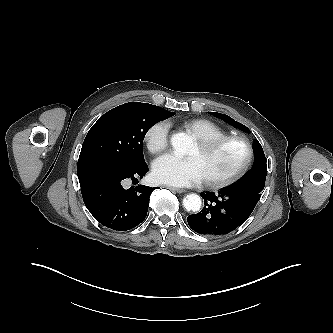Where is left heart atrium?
Returning a JSON list of instances; mask_svg holds the SVG:
<instances>
[{
	"label": "left heart atrium",
	"instance_id": "1",
	"mask_svg": "<svg viewBox=\"0 0 333 333\" xmlns=\"http://www.w3.org/2000/svg\"><path fill=\"white\" fill-rule=\"evenodd\" d=\"M153 176L161 183L186 187L200 183L204 178L196 159L165 154L153 163Z\"/></svg>",
	"mask_w": 333,
	"mask_h": 333
}]
</instances>
